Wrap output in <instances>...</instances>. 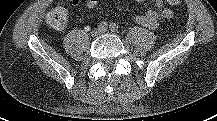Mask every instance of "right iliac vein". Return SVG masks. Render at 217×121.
I'll use <instances>...</instances> for the list:
<instances>
[{"label": "right iliac vein", "mask_w": 217, "mask_h": 121, "mask_svg": "<svg viewBox=\"0 0 217 121\" xmlns=\"http://www.w3.org/2000/svg\"><path fill=\"white\" fill-rule=\"evenodd\" d=\"M100 33H101V31H99V30H94V31L92 32V36H93V37H96V36H98Z\"/></svg>", "instance_id": "obj_1"}]
</instances>
